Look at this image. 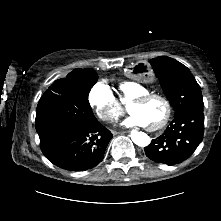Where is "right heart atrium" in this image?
<instances>
[{
    "mask_svg": "<svg viewBox=\"0 0 221 221\" xmlns=\"http://www.w3.org/2000/svg\"><path fill=\"white\" fill-rule=\"evenodd\" d=\"M88 100L103 122L112 123L123 113L120 101L105 82H98L91 88Z\"/></svg>",
    "mask_w": 221,
    "mask_h": 221,
    "instance_id": "d8ad5b80",
    "label": "right heart atrium"
}]
</instances>
